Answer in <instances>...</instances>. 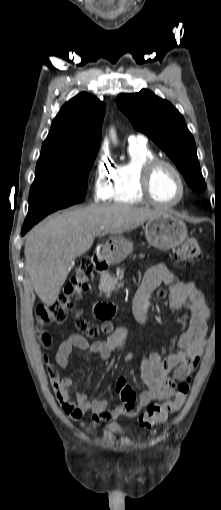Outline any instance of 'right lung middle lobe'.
Segmentation results:
<instances>
[{"mask_svg": "<svg viewBox=\"0 0 221 510\" xmlns=\"http://www.w3.org/2000/svg\"><path fill=\"white\" fill-rule=\"evenodd\" d=\"M99 148L39 159L29 206L62 209L85 200L87 179Z\"/></svg>", "mask_w": 221, "mask_h": 510, "instance_id": "1", "label": "right lung middle lobe"}]
</instances>
